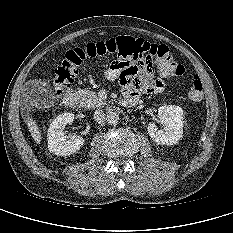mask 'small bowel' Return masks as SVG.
Listing matches in <instances>:
<instances>
[{"mask_svg": "<svg viewBox=\"0 0 233 233\" xmlns=\"http://www.w3.org/2000/svg\"><path fill=\"white\" fill-rule=\"evenodd\" d=\"M161 58L156 53L138 52L133 58L112 64L104 73L108 80L118 79L125 96L140 93H159L164 89L161 79H153L158 73Z\"/></svg>", "mask_w": 233, "mask_h": 233, "instance_id": "obj_1", "label": "small bowel"}]
</instances>
